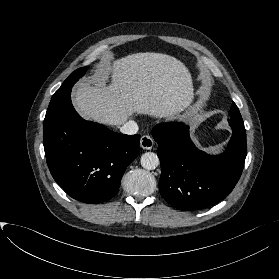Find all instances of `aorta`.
I'll return each mask as SVG.
<instances>
[{
  "instance_id": "obj_1",
  "label": "aorta",
  "mask_w": 279,
  "mask_h": 279,
  "mask_svg": "<svg viewBox=\"0 0 279 279\" xmlns=\"http://www.w3.org/2000/svg\"><path fill=\"white\" fill-rule=\"evenodd\" d=\"M141 166L146 170H154L159 165V158L153 152H146L141 156Z\"/></svg>"
}]
</instances>
